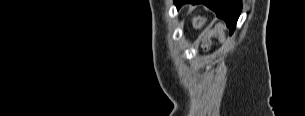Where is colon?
<instances>
[{
    "label": "colon",
    "mask_w": 305,
    "mask_h": 116,
    "mask_svg": "<svg viewBox=\"0 0 305 116\" xmlns=\"http://www.w3.org/2000/svg\"><path fill=\"white\" fill-rule=\"evenodd\" d=\"M203 22H204V19L202 17H196L194 19V25L196 27H200L203 24Z\"/></svg>",
    "instance_id": "1"
}]
</instances>
